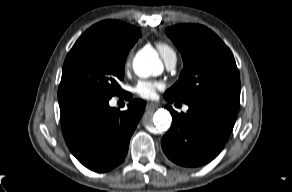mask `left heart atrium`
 <instances>
[{"label": "left heart atrium", "mask_w": 292, "mask_h": 192, "mask_svg": "<svg viewBox=\"0 0 292 192\" xmlns=\"http://www.w3.org/2000/svg\"><path fill=\"white\" fill-rule=\"evenodd\" d=\"M161 83L150 80H139L133 90L134 92L145 99H153L156 96L157 90L161 89Z\"/></svg>", "instance_id": "obj_1"}]
</instances>
